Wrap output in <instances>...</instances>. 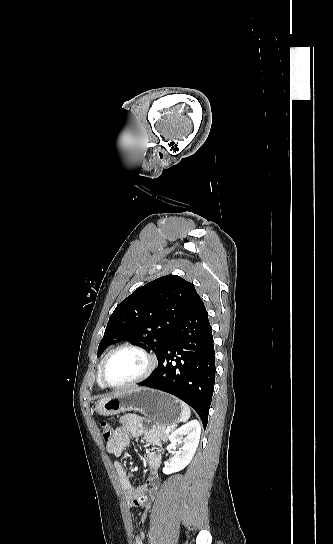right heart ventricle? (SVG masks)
<instances>
[{
  "instance_id": "1",
  "label": "right heart ventricle",
  "mask_w": 333,
  "mask_h": 544,
  "mask_svg": "<svg viewBox=\"0 0 333 544\" xmlns=\"http://www.w3.org/2000/svg\"><path fill=\"white\" fill-rule=\"evenodd\" d=\"M102 361L103 359L101 360L100 364H99V367H98V383L101 387H104V385L102 384L101 380H100V377H99V371H100V367H101V364H102Z\"/></svg>"
}]
</instances>
